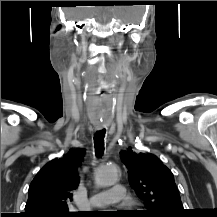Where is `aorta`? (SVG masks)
Masks as SVG:
<instances>
[{
    "mask_svg": "<svg viewBox=\"0 0 217 217\" xmlns=\"http://www.w3.org/2000/svg\"><path fill=\"white\" fill-rule=\"evenodd\" d=\"M118 180V169L115 165H104L97 169L95 184L99 187L114 185Z\"/></svg>",
    "mask_w": 217,
    "mask_h": 217,
    "instance_id": "aorta-1",
    "label": "aorta"
}]
</instances>
